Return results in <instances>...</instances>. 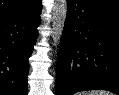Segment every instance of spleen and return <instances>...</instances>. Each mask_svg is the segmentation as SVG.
I'll list each match as a JSON object with an SVG mask.
<instances>
[{
	"mask_svg": "<svg viewBox=\"0 0 119 95\" xmlns=\"http://www.w3.org/2000/svg\"><path fill=\"white\" fill-rule=\"evenodd\" d=\"M77 95H113L111 92L104 91V90H95V91H89V92H81Z\"/></svg>",
	"mask_w": 119,
	"mask_h": 95,
	"instance_id": "1",
	"label": "spleen"
}]
</instances>
